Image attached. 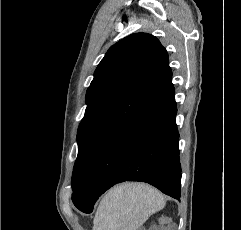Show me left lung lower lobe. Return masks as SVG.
<instances>
[{"label":"left lung lower lobe","instance_id":"left-lung-lower-lobe-1","mask_svg":"<svg viewBox=\"0 0 241 230\" xmlns=\"http://www.w3.org/2000/svg\"><path fill=\"white\" fill-rule=\"evenodd\" d=\"M175 89L170 80L155 97L99 151L75 206L91 213L96 200L123 181L147 182L180 198L181 165L175 117Z\"/></svg>","mask_w":241,"mask_h":230}]
</instances>
